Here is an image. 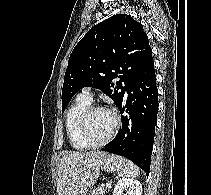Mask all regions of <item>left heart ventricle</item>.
Instances as JSON below:
<instances>
[{"label":"left heart ventricle","mask_w":211,"mask_h":195,"mask_svg":"<svg viewBox=\"0 0 211 195\" xmlns=\"http://www.w3.org/2000/svg\"><path fill=\"white\" fill-rule=\"evenodd\" d=\"M115 124L113 115L106 110H98L91 114L87 122V136L93 142L105 139Z\"/></svg>","instance_id":"b2bd125f"}]
</instances>
